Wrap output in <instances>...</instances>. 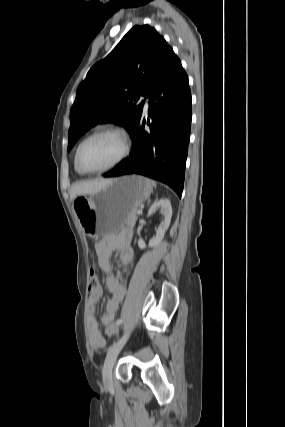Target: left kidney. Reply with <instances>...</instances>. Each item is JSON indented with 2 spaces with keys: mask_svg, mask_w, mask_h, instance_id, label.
<instances>
[{
  "mask_svg": "<svg viewBox=\"0 0 285 427\" xmlns=\"http://www.w3.org/2000/svg\"><path fill=\"white\" fill-rule=\"evenodd\" d=\"M158 208H160L161 213L164 215V220L159 225L156 236L150 240L149 246L155 247L159 245L164 238L165 232L168 229L172 217V207L168 199L163 198L156 201L151 208L149 209V214H153ZM138 246L140 249H145L146 245L143 240H138Z\"/></svg>",
  "mask_w": 285,
  "mask_h": 427,
  "instance_id": "5707ae66",
  "label": "left kidney"
}]
</instances>
